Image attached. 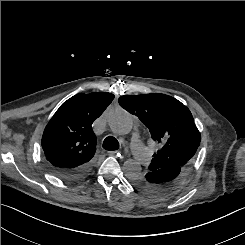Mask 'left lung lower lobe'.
Masks as SVG:
<instances>
[{
  "instance_id": "0a47b994",
  "label": "left lung lower lobe",
  "mask_w": 245,
  "mask_h": 245,
  "mask_svg": "<svg viewBox=\"0 0 245 245\" xmlns=\"http://www.w3.org/2000/svg\"><path fill=\"white\" fill-rule=\"evenodd\" d=\"M185 170L178 166H168L148 172L153 195L164 194L173 189L182 179Z\"/></svg>"
}]
</instances>
